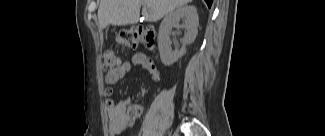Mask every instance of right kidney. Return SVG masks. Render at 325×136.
<instances>
[{
    "mask_svg": "<svg viewBox=\"0 0 325 136\" xmlns=\"http://www.w3.org/2000/svg\"><path fill=\"white\" fill-rule=\"evenodd\" d=\"M180 19L183 20V27L186 33L182 39L180 50L173 51L170 42V33L173 26L178 25ZM199 17L197 9L193 5H184L176 8L165 16L161 22L158 36V47L161 61L165 66L175 63L185 52L186 45L194 42L198 33Z\"/></svg>",
    "mask_w": 325,
    "mask_h": 136,
    "instance_id": "ca27d5eb",
    "label": "right kidney"
}]
</instances>
